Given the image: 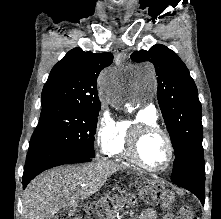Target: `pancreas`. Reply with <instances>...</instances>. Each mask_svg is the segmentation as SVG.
I'll list each match as a JSON object with an SVG mask.
<instances>
[{"mask_svg":"<svg viewBox=\"0 0 221 219\" xmlns=\"http://www.w3.org/2000/svg\"><path fill=\"white\" fill-rule=\"evenodd\" d=\"M125 214H129L130 216H133L134 213L132 211H130V213L127 212Z\"/></svg>","mask_w":221,"mask_h":219,"instance_id":"obj_1","label":"pancreas"}]
</instances>
